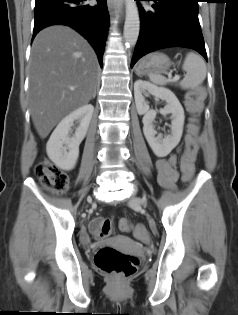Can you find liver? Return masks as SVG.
<instances>
[{"label": "liver", "instance_id": "6515ba94", "mask_svg": "<svg viewBox=\"0 0 238 315\" xmlns=\"http://www.w3.org/2000/svg\"><path fill=\"white\" fill-rule=\"evenodd\" d=\"M98 70L94 50L70 27L54 25L37 34L31 50L29 100L42 139L66 115L90 101Z\"/></svg>", "mask_w": 238, "mask_h": 315}]
</instances>
